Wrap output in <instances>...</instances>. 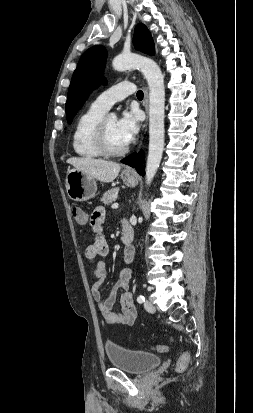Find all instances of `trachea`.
I'll use <instances>...</instances> for the list:
<instances>
[{
    "mask_svg": "<svg viewBox=\"0 0 253 413\" xmlns=\"http://www.w3.org/2000/svg\"><path fill=\"white\" fill-rule=\"evenodd\" d=\"M143 92L141 91V90H139L138 92H137V98L139 99V100H142L143 99Z\"/></svg>",
    "mask_w": 253,
    "mask_h": 413,
    "instance_id": "trachea-1",
    "label": "trachea"
}]
</instances>
